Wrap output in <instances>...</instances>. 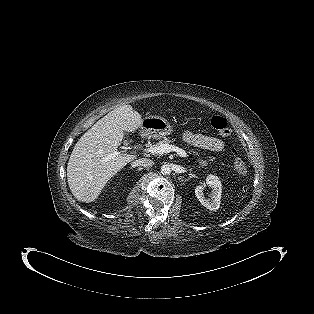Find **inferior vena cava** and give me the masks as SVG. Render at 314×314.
<instances>
[{
	"label": "inferior vena cava",
	"mask_w": 314,
	"mask_h": 314,
	"mask_svg": "<svg viewBox=\"0 0 314 314\" xmlns=\"http://www.w3.org/2000/svg\"><path fill=\"white\" fill-rule=\"evenodd\" d=\"M153 165H154V162L151 159L141 158V159L136 160L132 166L133 167L142 166L144 168H150Z\"/></svg>",
	"instance_id": "obj_1"
}]
</instances>
